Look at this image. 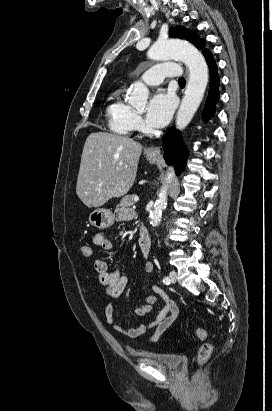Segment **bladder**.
Masks as SVG:
<instances>
[{"mask_svg": "<svg viewBox=\"0 0 272 411\" xmlns=\"http://www.w3.org/2000/svg\"><path fill=\"white\" fill-rule=\"evenodd\" d=\"M140 357L156 366H161L168 370L179 369L183 362V357L180 354L146 352L141 354Z\"/></svg>", "mask_w": 272, "mask_h": 411, "instance_id": "31cf9c89", "label": "bladder"}]
</instances>
